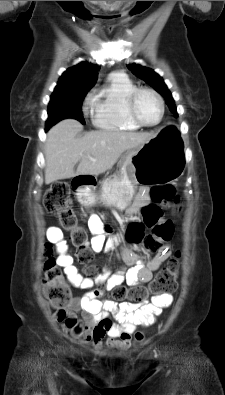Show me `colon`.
Returning <instances> with one entry per match:
<instances>
[{"mask_svg": "<svg viewBox=\"0 0 225 395\" xmlns=\"http://www.w3.org/2000/svg\"><path fill=\"white\" fill-rule=\"evenodd\" d=\"M151 204L142 208L141 222H134L127 229V239L131 243L140 244L146 254L156 253L162 243L169 241L174 233L173 224L169 220H162L161 208H169L175 215H180L183 209V199L176 194L172 185L154 186L150 190ZM44 205L48 213L53 215L61 228L69 233L71 244L76 250L79 263L86 266L88 276L95 275V268L91 265L93 258L89 247L85 229L80 226L77 215L72 207L68 184L57 182L47 190ZM149 227L151 233L144 235V228ZM43 291L50 304L59 311L67 308L72 301V281L63 275L60 266H56L52 246L47 244L44 252ZM180 253L168 262L148 286L128 288L116 285L112 296L116 300H130L142 302L150 294L160 295L171 293L177 288Z\"/></svg>", "mask_w": 225, "mask_h": 395, "instance_id": "1", "label": "colon"}]
</instances>
